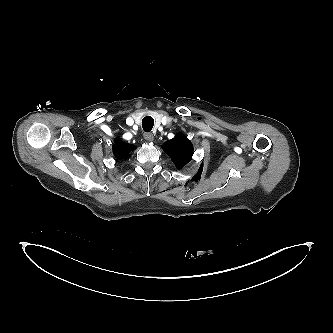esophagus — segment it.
<instances>
[{"instance_id":"obj_1","label":"esophagus","mask_w":333,"mask_h":333,"mask_svg":"<svg viewBox=\"0 0 333 333\" xmlns=\"http://www.w3.org/2000/svg\"><path fill=\"white\" fill-rule=\"evenodd\" d=\"M144 139L148 142H151L154 140V135L152 133H144Z\"/></svg>"}]
</instances>
